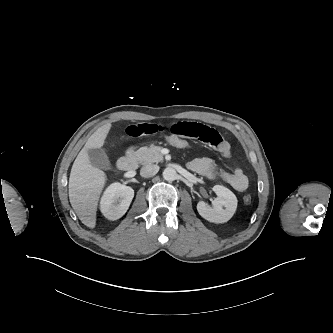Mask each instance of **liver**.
I'll use <instances>...</instances> for the list:
<instances>
[{"mask_svg":"<svg viewBox=\"0 0 333 333\" xmlns=\"http://www.w3.org/2000/svg\"><path fill=\"white\" fill-rule=\"evenodd\" d=\"M111 128V123L99 127L87 140L77 155L69 177V200L81 222L89 228L96 226L98 200L106 183V175L94 167L88 150L101 148Z\"/></svg>","mask_w":333,"mask_h":333,"instance_id":"liver-1","label":"liver"}]
</instances>
